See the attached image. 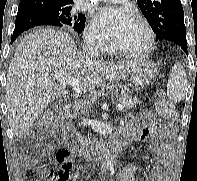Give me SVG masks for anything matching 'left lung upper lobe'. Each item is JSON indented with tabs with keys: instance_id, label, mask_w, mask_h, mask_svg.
Listing matches in <instances>:
<instances>
[{
	"instance_id": "left-lung-upper-lobe-1",
	"label": "left lung upper lobe",
	"mask_w": 197,
	"mask_h": 181,
	"mask_svg": "<svg viewBox=\"0 0 197 181\" xmlns=\"http://www.w3.org/2000/svg\"><path fill=\"white\" fill-rule=\"evenodd\" d=\"M138 7L156 34V40L172 41L186 36L184 11L180 0H137Z\"/></svg>"
}]
</instances>
